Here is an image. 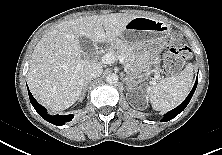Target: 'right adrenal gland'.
Wrapping results in <instances>:
<instances>
[{
	"label": "right adrenal gland",
	"instance_id": "obj_1",
	"mask_svg": "<svg viewBox=\"0 0 222 155\" xmlns=\"http://www.w3.org/2000/svg\"><path fill=\"white\" fill-rule=\"evenodd\" d=\"M91 82V80H87L85 82V85H84V88H83V92H82V95L80 97V101H82V99H84L85 95H86V91H87V87H88V84Z\"/></svg>",
	"mask_w": 222,
	"mask_h": 155
}]
</instances>
